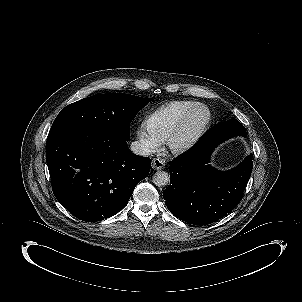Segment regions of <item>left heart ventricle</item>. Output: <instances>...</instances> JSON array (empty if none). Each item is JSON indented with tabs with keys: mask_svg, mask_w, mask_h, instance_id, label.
<instances>
[{
	"mask_svg": "<svg viewBox=\"0 0 302 302\" xmlns=\"http://www.w3.org/2000/svg\"><path fill=\"white\" fill-rule=\"evenodd\" d=\"M205 119V113L198 112L194 116H192L188 121L185 123L181 131L176 136L174 143L180 144L184 140H186L189 136H191L196 129L202 124Z\"/></svg>",
	"mask_w": 302,
	"mask_h": 302,
	"instance_id": "obj_1",
	"label": "left heart ventricle"
}]
</instances>
